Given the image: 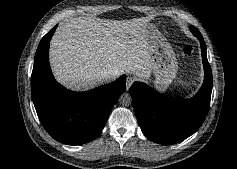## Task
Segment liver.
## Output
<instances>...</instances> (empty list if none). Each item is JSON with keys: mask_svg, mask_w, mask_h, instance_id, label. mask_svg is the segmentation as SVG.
Returning <instances> with one entry per match:
<instances>
[{"mask_svg": "<svg viewBox=\"0 0 237 169\" xmlns=\"http://www.w3.org/2000/svg\"><path fill=\"white\" fill-rule=\"evenodd\" d=\"M118 21L79 17L60 27L54 57L63 80L77 88L103 82L100 73L131 71L137 76L152 73V38L143 23L124 27Z\"/></svg>", "mask_w": 237, "mask_h": 169, "instance_id": "liver-1", "label": "liver"}]
</instances>
